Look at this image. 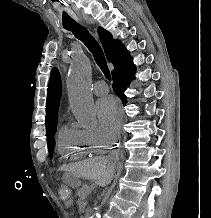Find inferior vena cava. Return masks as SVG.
Returning a JSON list of instances; mask_svg holds the SVG:
<instances>
[{
  "mask_svg": "<svg viewBox=\"0 0 211 218\" xmlns=\"http://www.w3.org/2000/svg\"><path fill=\"white\" fill-rule=\"evenodd\" d=\"M116 156H117V154H115V156H114V154H111V156H109V158H116Z\"/></svg>",
  "mask_w": 211,
  "mask_h": 218,
  "instance_id": "1",
  "label": "inferior vena cava"
}]
</instances>
